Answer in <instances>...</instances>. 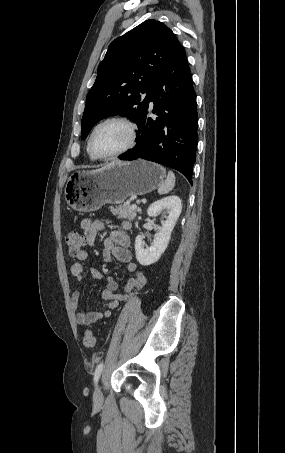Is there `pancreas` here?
I'll return each instance as SVG.
<instances>
[{"mask_svg": "<svg viewBox=\"0 0 285 453\" xmlns=\"http://www.w3.org/2000/svg\"><path fill=\"white\" fill-rule=\"evenodd\" d=\"M131 206L132 205L127 204V203L116 206V207L110 206V211L113 215H117L118 218L128 219L129 221H133L137 215L138 210H137V208L132 209Z\"/></svg>", "mask_w": 285, "mask_h": 453, "instance_id": "obj_1", "label": "pancreas"}]
</instances>
